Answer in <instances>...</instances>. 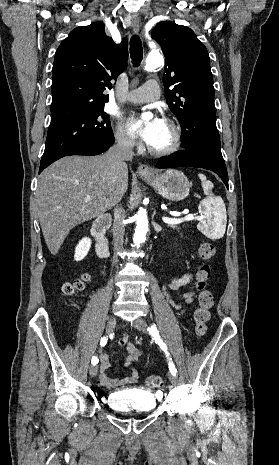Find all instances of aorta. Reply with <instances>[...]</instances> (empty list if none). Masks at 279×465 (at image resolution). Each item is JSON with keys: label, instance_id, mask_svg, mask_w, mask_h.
Returning a JSON list of instances; mask_svg holds the SVG:
<instances>
[{"label": "aorta", "instance_id": "aorta-1", "mask_svg": "<svg viewBox=\"0 0 279 465\" xmlns=\"http://www.w3.org/2000/svg\"><path fill=\"white\" fill-rule=\"evenodd\" d=\"M163 62L162 57L159 54H150L146 60V70H151L155 66L161 64ZM148 115H144L143 118H147ZM136 229L135 234L133 237V242L135 245H140L141 243L145 242L146 234L148 232V219L146 212L144 210H140L136 216Z\"/></svg>", "mask_w": 279, "mask_h": 465}]
</instances>
